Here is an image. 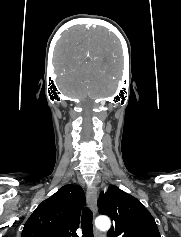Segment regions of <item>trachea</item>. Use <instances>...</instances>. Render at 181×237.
<instances>
[{
    "instance_id": "1",
    "label": "trachea",
    "mask_w": 181,
    "mask_h": 237,
    "mask_svg": "<svg viewBox=\"0 0 181 237\" xmlns=\"http://www.w3.org/2000/svg\"><path fill=\"white\" fill-rule=\"evenodd\" d=\"M81 228L83 237H93L92 212L89 209L82 213Z\"/></svg>"
}]
</instances>
